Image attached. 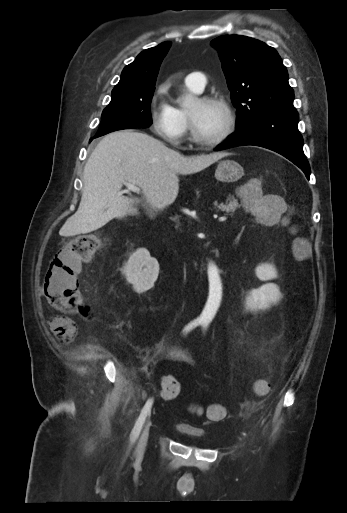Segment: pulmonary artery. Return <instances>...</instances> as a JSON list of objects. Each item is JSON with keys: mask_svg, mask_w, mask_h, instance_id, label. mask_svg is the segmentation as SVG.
Instances as JSON below:
<instances>
[{"mask_svg": "<svg viewBox=\"0 0 347 513\" xmlns=\"http://www.w3.org/2000/svg\"><path fill=\"white\" fill-rule=\"evenodd\" d=\"M207 83L206 75L202 72H192L186 76V84L195 92L204 90Z\"/></svg>", "mask_w": 347, "mask_h": 513, "instance_id": "1", "label": "pulmonary artery"}]
</instances>
